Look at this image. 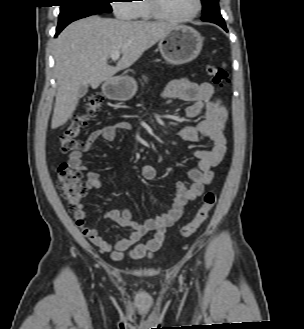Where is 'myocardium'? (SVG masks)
<instances>
[{
	"mask_svg": "<svg viewBox=\"0 0 304 329\" xmlns=\"http://www.w3.org/2000/svg\"><path fill=\"white\" fill-rule=\"evenodd\" d=\"M151 11L157 19L171 22H184L190 19L195 18L202 10V0H196V8L195 10L189 14L184 16H175L169 14L164 6L162 5L161 0H148Z\"/></svg>",
	"mask_w": 304,
	"mask_h": 329,
	"instance_id": "f54148a6",
	"label": "myocardium"
}]
</instances>
